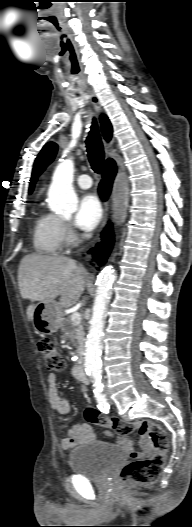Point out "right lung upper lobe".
I'll list each match as a JSON object with an SVG mask.
<instances>
[{
    "instance_id": "cb5924a9",
    "label": "right lung upper lobe",
    "mask_w": 192,
    "mask_h": 527,
    "mask_svg": "<svg viewBox=\"0 0 192 527\" xmlns=\"http://www.w3.org/2000/svg\"><path fill=\"white\" fill-rule=\"evenodd\" d=\"M101 121V129L104 135V138L109 141L112 135V126L108 120V118L105 115H102L100 118ZM57 152V145L54 142H49L44 145L41 152L39 153L38 157L35 160L33 172H32V178L30 180V188L29 193L33 191L35 182L37 180V177L40 175V173L43 172V170L46 168V166L53 161L55 155ZM113 161L112 159H108L107 162Z\"/></svg>"
}]
</instances>
